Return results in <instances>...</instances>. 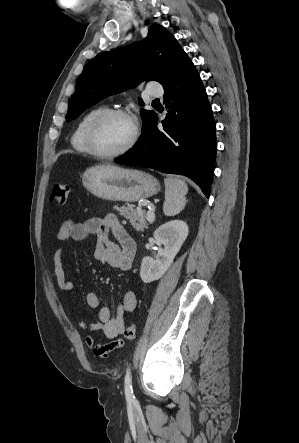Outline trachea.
<instances>
[{
  "instance_id": "1",
  "label": "trachea",
  "mask_w": 299,
  "mask_h": 443,
  "mask_svg": "<svg viewBox=\"0 0 299 443\" xmlns=\"http://www.w3.org/2000/svg\"><path fill=\"white\" fill-rule=\"evenodd\" d=\"M153 102H159V99H155V100H153Z\"/></svg>"
}]
</instances>
